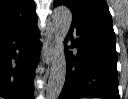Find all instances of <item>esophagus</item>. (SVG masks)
Returning <instances> with one entry per match:
<instances>
[{"mask_svg":"<svg viewBox=\"0 0 128 99\" xmlns=\"http://www.w3.org/2000/svg\"><path fill=\"white\" fill-rule=\"evenodd\" d=\"M56 49V29L51 27L50 32L47 34L44 45H43V54L42 61L46 64H50Z\"/></svg>","mask_w":128,"mask_h":99,"instance_id":"obj_1","label":"esophagus"}]
</instances>
